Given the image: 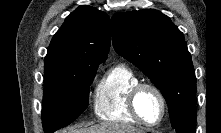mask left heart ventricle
I'll return each mask as SVG.
<instances>
[{
  "mask_svg": "<svg viewBox=\"0 0 221 133\" xmlns=\"http://www.w3.org/2000/svg\"><path fill=\"white\" fill-rule=\"evenodd\" d=\"M137 106L143 119L149 123L156 122L161 116L160 101L151 90L146 89L140 93Z\"/></svg>",
  "mask_w": 221,
  "mask_h": 133,
  "instance_id": "1",
  "label": "left heart ventricle"
}]
</instances>
